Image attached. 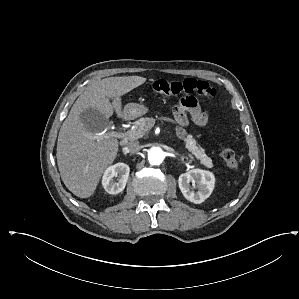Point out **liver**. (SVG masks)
Segmentation results:
<instances>
[{
    "instance_id": "obj_1",
    "label": "liver",
    "mask_w": 299,
    "mask_h": 299,
    "mask_svg": "<svg viewBox=\"0 0 299 299\" xmlns=\"http://www.w3.org/2000/svg\"><path fill=\"white\" fill-rule=\"evenodd\" d=\"M145 82L141 76L94 80L72 106L60 128L56 157L62 181L77 197L93 195L119 147L116 138L98 141L89 135L108 128L114 110L124 117L121 97Z\"/></svg>"
}]
</instances>
